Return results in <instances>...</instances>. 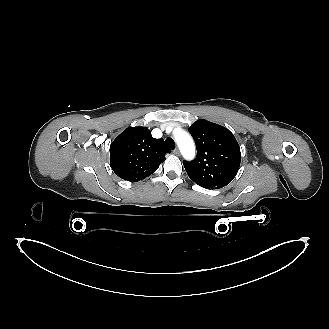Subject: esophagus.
<instances>
[{
    "instance_id": "1",
    "label": "esophagus",
    "mask_w": 329,
    "mask_h": 329,
    "mask_svg": "<svg viewBox=\"0 0 329 329\" xmlns=\"http://www.w3.org/2000/svg\"><path fill=\"white\" fill-rule=\"evenodd\" d=\"M173 153H174L175 155H177V156L180 155V151H179V149H175V150L173 151Z\"/></svg>"
}]
</instances>
